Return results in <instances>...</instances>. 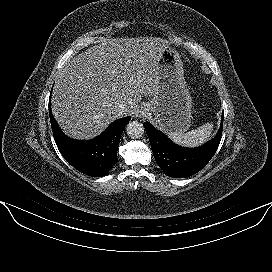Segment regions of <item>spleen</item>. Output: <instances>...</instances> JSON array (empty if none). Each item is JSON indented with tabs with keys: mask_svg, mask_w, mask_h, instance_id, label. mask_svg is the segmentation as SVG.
<instances>
[{
	"mask_svg": "<svg viewBox=\"0 0 272 272\" xmlns=\"http://www.w3.org/2000/svg\"><path fill=\"white\" fill-rule=\"evenodd\" d=\"M213 130V124L206 123L195 130L187 133L171 132L168 133V137L175 143L187 147L199 146L206 142L211 136Z\"/></svg>",
	"mask_w": 272,
	"mask_h": 272,
	"instance_id": "obj_1",
	"label": "spleen"
}]
</instances>
